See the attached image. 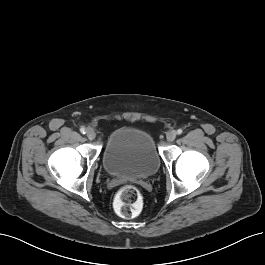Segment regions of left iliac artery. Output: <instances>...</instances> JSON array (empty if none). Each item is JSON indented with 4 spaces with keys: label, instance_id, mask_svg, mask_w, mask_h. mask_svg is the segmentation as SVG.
<instances>
[{
    "label": "left iliac artery",
    "instance_id": "obj_1",
    "mask_svg": "<svg viewBox=\"0 0 265 265\" xmlns=\"http://www.w3.org/2000/svg\"><path fill=\"white\" fill-rule=\"evenodd\" d=\"M182 132H183L182 129H178V130H177V134H178V135L182 134Z\"/></svg>",
    "mask_w": 265,
    "mask_h": 265
}]
</instances>
